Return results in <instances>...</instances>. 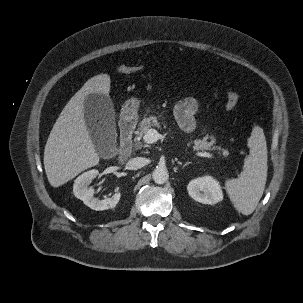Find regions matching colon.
Returning <instances> with one entry per match:
<instances>
[{
    "mask_svg": "<svg viewBox=\"0 0 303 303\" xmlns=\"http://www.w3.org/2000/svg\"><path fill=\"white\" fill-rule=\"evenodd\" d=\"M141 69V66H128L122 65L117 69V73L120 75H127L134 72H137ZM226 109L229 111H233L238 106V95L233 90H227L226 92V102H225Z\"/></svg>",
    "mask_w": 303,
    "mask_h": 303,
    "instance_id": "1",
    "label": "colon"
}]
</instances>
